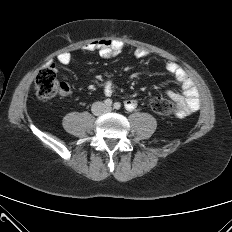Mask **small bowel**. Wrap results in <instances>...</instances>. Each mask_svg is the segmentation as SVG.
I'll return each mask as SVG.
<instances>
[{
    "instance_id": "c3829d8e",
    "label": "small bowel",
    "mask_w": 232,
    "mask_h": 232,
    "mask_svg": "<svg viewBox=\"0 0 232 232\" xmlns=\"http://www.w3.org/2000/svg\"><path fill=\"white\" fill-rule=\"evenodd\" d=\"M125 48L122 41L110 38H101L85 44L82 47L84 52H98L104 57H110L121 53ZM135 57L144 59L149 56V51L144 48H137L134 51ZM58 63L62 66L68 65L72 56L69 52H62L57 56ZM166 70L172 74L176 82L181 86L182 92L168 91L167 95L177 105V116L183 117L191 114L199 109L200 99L197 87L188 75V73L177 63L167 61L165 64ZM114 91L111 80H105L103 83V92L105 95H111ZM69 88L63 85L62 93L68 94ZM127 110H133L137 106V102L133 99H127L124 103Z\"/></svg>"
}]
</instances>
